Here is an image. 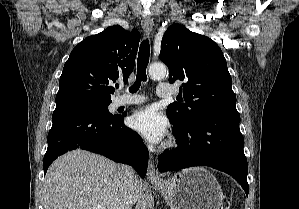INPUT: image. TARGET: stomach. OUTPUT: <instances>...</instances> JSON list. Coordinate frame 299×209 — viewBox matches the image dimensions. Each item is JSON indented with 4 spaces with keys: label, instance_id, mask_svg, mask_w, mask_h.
Here are the masks:
<instances>
[{
    "label": "stomach",
    "instance_id": "stomach-1",
    "mask_svg": "<svg viewBox=\"0 0 299 209\" xmlns=\"http://www.w3.org/2000/svg\"><path fill=\"white\" fill-rule=\"evenodd\" d=\"M153 185L171 209H220L223 203L221 186L202 167L182 170L173 178Z\"/></svg>",
    "mask_w": 299,
    "mask_h": 209
}]
</instances>
